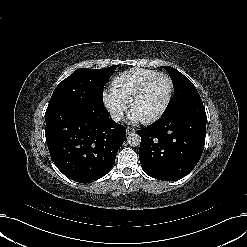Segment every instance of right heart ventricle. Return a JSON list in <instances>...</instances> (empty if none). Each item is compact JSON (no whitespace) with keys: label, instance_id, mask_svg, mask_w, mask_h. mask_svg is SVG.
<instances>
[{"label":"right heart ventricle","instance_id":"e07e8e85","mask_svg":"<svg viewBox=\"0 0 247 247\" xmlns=\"http://www.w3.org/2000/svg\"><path fill=\"white\" fill-rule=\"evenodd\" d=\"M159 72L146 68H133L119 75L112 83L113 94L123 103L131 100L138 88Z\"/></svg>","mask_w":247,"mask_h":247}]
</instances>
